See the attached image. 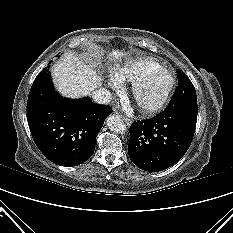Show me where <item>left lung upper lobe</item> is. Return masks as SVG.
<instances>
[{
	"mask_svg": "<svg viewBox=\"0 0 233 233\" xmlns=\"http://www.w3.org/2000/svg\"><path fill=\"white\" fill-rule=\"evenodd\" d=\"M178 86L168 106L184 107L197 104L195 88L187 75L177 69Z\"/></svg>",
	"mask_w": 233,
	"mask_h": 233,
	"instance_id": "5c2ea615",
	"label": "left lung upper lobe"
}]
</instances>
